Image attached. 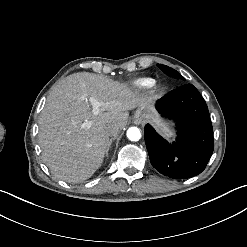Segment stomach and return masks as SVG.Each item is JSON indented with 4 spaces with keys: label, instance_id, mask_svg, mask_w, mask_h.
Wrapping results in <instances>:
<instances>
[{
    "label": "stomach",
    "instance_id": "stomach-1",
    "mask_svg": "<svg viewBox=\"0 0 247 247\" xmlns=\"http://www.w3.org/2000/svg\"><path fill=\"white\" fill-rule=\"evenodd\" d=\"M151 122L156 130L163 135L172 134L176 118L163 117L156 107V100L149 99L145 104L139 106L134 113V122L136 124L142 122Z\"/></svg>",
    "mask_w": 247,
    "mask_h": 247
}]
</instances>
